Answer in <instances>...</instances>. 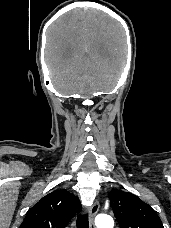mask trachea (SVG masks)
<instances>
[{"label":"trachea","mask_w":171,"mask_h":228,"mask_svg":"<svg viewBox=\"0 0 171 228\" xmlns=\"http://www.w3.org/2000/svg\"><path fill=\"white\" fill-rule=\"evenodd\" d=\"M76 226L77 228H88L89 227L88 216L87 215L77 216Z\"/></svg>","instance_id":"obj_1"}]
</instances>
